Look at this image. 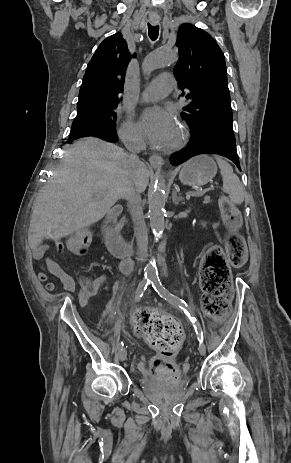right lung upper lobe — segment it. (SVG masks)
I'll return each mask as SVG.
<instances>
[{"label":"right lung upper lobe","instance_id":"right-lung-upper-lobe-1","mask_svg":"<svg viewBox=\"0 0 291 463\" xmlns=\"http://www.w3.org/2000/svg\"><path fill=\"white\" fill-rule=\"evenodd\" d=\"M131 55L121 33L106 38L90 60L79 91L77 116L118 105Z\"/></svg>","mask_w":291,"mask_h":463}]
</instances>
